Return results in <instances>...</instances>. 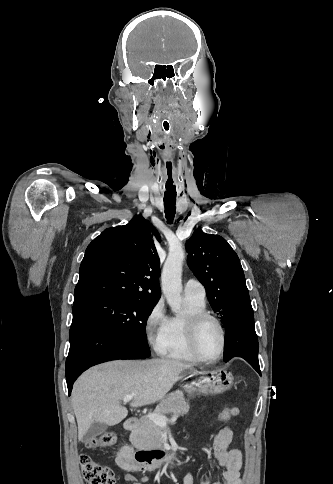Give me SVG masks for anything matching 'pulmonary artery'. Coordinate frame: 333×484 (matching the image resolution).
Returning a JSON list of instances; mask_svg holds the SVG:
<instances>
[{"label": "pulmonary artery", "mask_w": 333, "mask_h": 484, "mask_svg": "<svg viewBox=\"0 0 333 484\" xmlns=\"http://www.w3.org/2000/svg\"><path fill=\"white\" fill-rule=\"evenodd\" d=\"M185 297L193 298L198 301H205L206 291L204 286L196 279H188L184 283Z\"/></svg>", "instance_id": "1"}]
</instances>
